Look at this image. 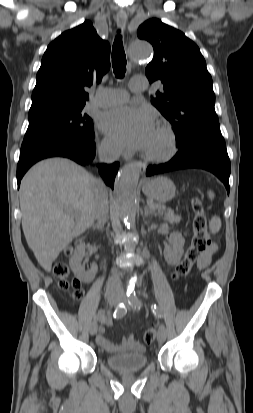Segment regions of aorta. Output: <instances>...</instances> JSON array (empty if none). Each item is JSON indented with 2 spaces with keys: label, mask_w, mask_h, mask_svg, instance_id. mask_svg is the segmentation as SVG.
<instances>
[{
  "label": "aorta",
  "mask_w": 253,
  "mask_h": 413,
  "mask_svg": "<svg viewBox=\"0 0 253 413\" xmlns=\"http://www.w3.org/2000/svg\"><path fill=\"white\" fill-rule=\"evenodd\" d=\"M151 45L143 40H135L129 46V54L135 62H145L152 55ZM140 168L129 163L118 173L114 187V201L118 214L130 226L136 217V189Z\"/></svg>",
  "instance_id": "1"
}]
</instances>
